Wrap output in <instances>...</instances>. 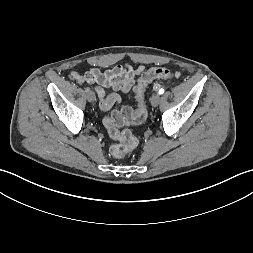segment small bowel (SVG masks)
Instances as JSON below:
<instances>
[{
  "label": "small bowel",
  "instance_id": "small-bowel-1",
  "mask_svg": "<svg viewBox=\"0 0 253 253\" xmlns=\"http://www.w3.org/2000/svg\"><path fill=\"white\" fill-rule=\"evenodd\" d=\"M145 67L139 65L133 68L130 64L116 65L104 72L97 68H91L84 74L77 72L71 73V77L78 82L95 84L96 92L100 98L99 106L107 111L121 100L119 92H129L133 87L135 80L140 76ZM110 89L106 94L105 89Z\"/></svg>",
  "mask_w": 253,
  "mask_h": 253
}]
</instances>
